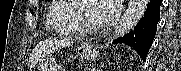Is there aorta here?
<instances>
[{
	"label": "aorta",
	"instance_id": "762f6f07",
	"mask_svg": "<svg viewBox=\"0 0 181 71\" xmlns=\"http://www.w3.org/2000/svg\"><path fill=\"white\" fill-rule=\"evenodd\" d=\"M149 0H130L129 5L115 27L113 38L124 36L132 30L144 16Z\"/></svg>",
	"mask_w": 181,
	"mask_h": 71
}]
</instances>
